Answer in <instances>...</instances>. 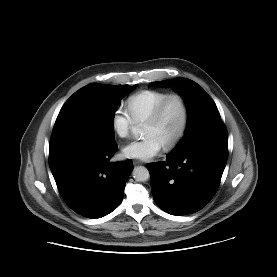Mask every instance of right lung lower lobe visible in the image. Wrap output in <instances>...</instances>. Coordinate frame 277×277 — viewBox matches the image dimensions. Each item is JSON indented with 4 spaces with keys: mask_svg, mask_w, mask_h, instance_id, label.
Instances as JSON below:
<instances>
[{
    "mask_svg": "<svg viewBox=\"0 0 277 277\" xmlns=\"http://www.w3.org/2000/svg\"><path fill=\"white\" fill-rule=\"evenodd\" d=\"M115 142L71 129H53L49 166L66 204L87 218H101L116 209L124 196L132 161L110 162Z\"/></svg>",
    "mask_w": 277,
    "mask_h": 277,
    "instance_id": "1",
    "label": "right lung lower lobe"
}]
</instances>
